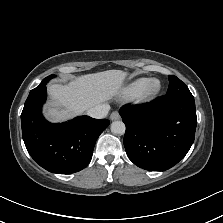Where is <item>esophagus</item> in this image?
<instances>
[{"mask_svg":"<svg viewBox=\"0 0 223 223\" xmlns=\"http://www.w3.org/2000/svg\"><path fill=\"white\" fill-rule=\"evenodd\" d=\"M120 118H121V117H120V114H119L118 111H114V112H112L111 115H110V119H111L112 121L119 120Z\"/></svg>","mask_w":223,"mask_h":223,"instance_id":"1","label":"esophagus"}]
</instances>
